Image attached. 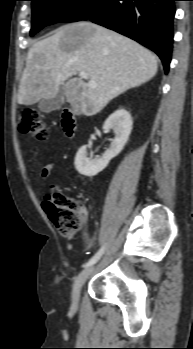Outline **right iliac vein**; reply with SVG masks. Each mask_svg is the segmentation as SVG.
Segmentation results:
<instances>
[{
  "mask_svg": "<svg viewBox=\"0 0 193 349\" xmlns=\"http://www.w3.org/2000/svg\"><path fill=\"white\" fill-rule=\"evenodd\" d=\"M93 270V266L87 267L77 276L72 288V304L74 307H78L81 289Z\"/></svg>",
  "mask_w": 193,
  "mask_h": 349,
  "instance_id": "1",
  "label": "right iliac vein"
}]
</instances>
